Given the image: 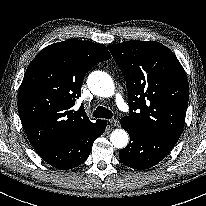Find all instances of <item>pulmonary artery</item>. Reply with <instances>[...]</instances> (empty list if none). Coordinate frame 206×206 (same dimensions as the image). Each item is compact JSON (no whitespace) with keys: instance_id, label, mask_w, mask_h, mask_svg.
Segmentation results:
<instances>
[{"instance_id":"pulmonary-artery-1","label":"pulmonary artery","mask_w":206,"mask_h":206,"mask_svg":"<svg viewBox=\"0 0 206 206\" xmlns=\"http://www.w3.org/2000/svg\"><path fill=\"white\" fill-rule=\"evenodd\" d=\"M115 102L120 110L124 112L128 110L127 104L124 102L122 96L119 93L115 95Z\"/></svg>"}]
</instances>
